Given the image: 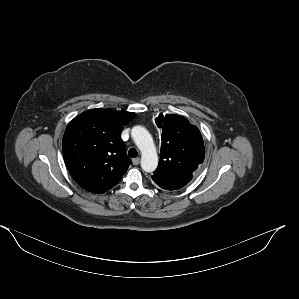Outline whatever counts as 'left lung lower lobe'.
Masks as SVG:
<instances>
[{"label": "left lung lower lobe", "instance_id": "0a47b994", "mask_svg": "<svg viewBox=\"0 0 299 299\" xmlns=\"http://www.w3.org/2000/svg\"><path fill=\"white\" fill-rule=\"evenodd\" d=\"M193 175L181 174L173 176L152 175L153 181L165 190H178L184 187L192 179Z\"/></svg>", "mask_w": 299, "mask_h": 299}]
</instances>
